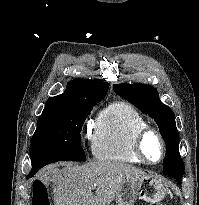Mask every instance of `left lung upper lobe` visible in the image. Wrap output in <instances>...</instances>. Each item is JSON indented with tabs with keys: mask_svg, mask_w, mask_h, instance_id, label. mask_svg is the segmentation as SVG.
Masks as SVG:
<instances>
[{
	"mask_svg": "<svg viewBox=\"0 0 199 205\" xmlns=\"http://www.w3.org/2000/svg\"><path fill=\"white\" fill-rule=\"evenodd\" d=\"M113 89L119 96L156 121L166 144L163 172L174 177L181 184L184 163L179 154V133L171 108L160 101L157 90L149 85L122 83L113 85Z\"/></svg>",
	"mask_w": 199,
	"mask_h": 205,
	"instance_id": "left-lung-upper-lobe-1",
	"label": "left lung upper lobe"
}]
</instances>
